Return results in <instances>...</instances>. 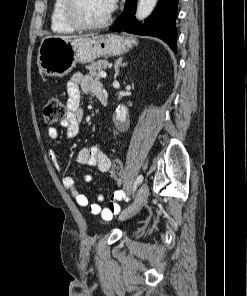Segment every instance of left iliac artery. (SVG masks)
<instances>
[{
    "instance_id": "44dca946",
    "label": "left iliac artery",
    "mask_w": 247,
    "mask_h": 296,
    "mask_svg": "<svg viewBox=\"0 0 247 296\" xmlns=\"http://www.w3.org/2000/svg\"><path fill=\"white\" fill-rule=\"evenodd\" d=\"M143 181V176L139 175L134 183L133 192L136 190L137 185H139Z\"/></svg>"
}]
</instances>
